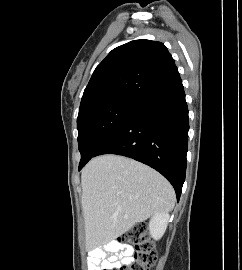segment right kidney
I'll return each instance as SVG.
<instances>
[{
    "label": "right kidney",
    "mask_w": 242,
    "mask_h": 270,
    "mask_svg": "<svg viewBox=\"0 0 242 270\" xmlns=\"http://www.w3.org/2000/svg\"><path fill=\"white\" fill-rule=\"evenodd\" d=\"M168 213H156L149 222L150 236L155 240H159L165 233L168 221Z\"/></svg>",
    "instance_id": "right-kidney-1"
}]
</instances>
